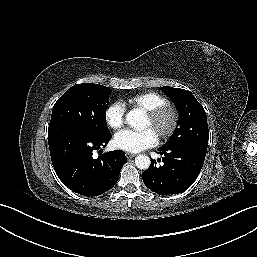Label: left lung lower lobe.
Instances as JSON below:
<instances>
[{
  "instance_id": "obj_1",
  "label": "left lung lower lobe",
  "mask_w": 257,
  "mask_h": 257,
  "mask_svg": "<svg viewBox=\"0 0 257 257\" xmlns=\"http://www.w3.org/2000/svg\"><path fill=\"white\" fill-rule=\"evenodd\" d=\"M163 165L150 167L142 173L145 185L161 195L178 194L188 189L198 177L207 150L193 146L158 149Z\"/></svg>"
}]
</instances>
